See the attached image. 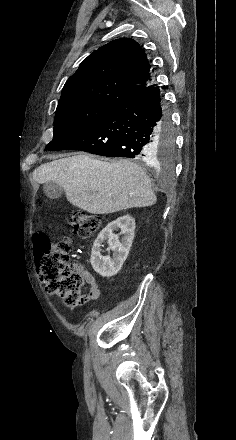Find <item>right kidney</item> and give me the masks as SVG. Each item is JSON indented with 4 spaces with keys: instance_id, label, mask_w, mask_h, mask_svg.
I'll use <instances>...</instances> for the list:
<instances>
[{
    "instance_id": "obj_1",
    "label": "right kidney",
    "mask_w": 236,
    "mask_h": 440,
    "mask_svg": "<svg viewBox=\"0 0 236 440\" xmlns=\"http://www.w3.org/2000/svg\"><path fill=\"white\" fill-rule=\"evenodd\" d=\"M120 229L121 239L114 234V230ZM135 230V219L130 215H124L109 223L97 236L91 252V265L95 272L102 277H112L119 272L126 260L133 239ZM107 240L109 250L113 251L112 258L102 256L101 246Z\"/></svg>"
}]
</instances>
